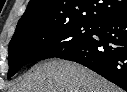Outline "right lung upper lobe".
<instances>
[{"mask_svg": "<svg viewBox=\"0 0 127 92\" xmlns=\"http://www.w3.org/2000/svg\"><path fill=\"white\" fill-rule=\"evenodd\" d=\"M125 11L127 0H30L12 39L37 27L73 23L95 25Z\"/></svg>", "mask_w": 127, "mask_h": 92, "instance_id": "obj_1", "label": "right lung upper lobe"}]
</instances>
